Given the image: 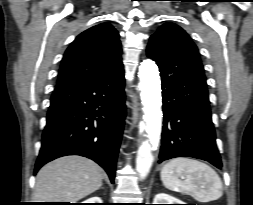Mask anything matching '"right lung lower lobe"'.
I'll return each mask as SVG.
<instances>
[{
	"instance_id": "obj_1",
	"label": "right lung lower lobe",
	"mask_w": 253,
	"mask_h": 205,
	"mask_svg": "<svg viewBox=\"0 0 253 205\" xmlns=\"http://www.w3.org/2000/svg\"><path fill=\"white\" fill-rule=\"evenodd\" d=\"M123 66L96 80L56 89L51 97L35 173L47 162L80 155L114 182L126 114Z\"/></svg>"
}]
</instances>
